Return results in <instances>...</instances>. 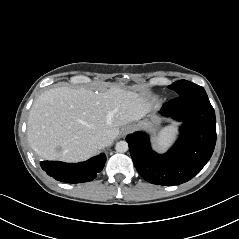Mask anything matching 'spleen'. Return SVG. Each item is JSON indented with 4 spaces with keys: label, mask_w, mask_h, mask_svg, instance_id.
Instances as JSON below:
<instances>
[{
    "label": "spleen",
    "mask_w": 239,
    "mask_h": 239,
    "mask_svg": "<svg viewBox=\"0 0 239 239\" xmlns=\"http://www.w3.org/2000/svg\"><path fill=\"white\" fill-rule=\"evenodd\" d=\"M177 131L176 125L164 128L157 136L154 137V146L161 151H165L174 138Z\"/></svg>",
    "instance_id": "1"
}]
</instances>
